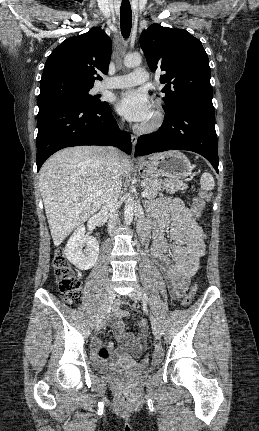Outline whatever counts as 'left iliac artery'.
Listing matches in <instances>:
<instances>
[{
    "label": "left iliac artery",
    "instance_id": "44dca946",
    "mask_svg": "<svg viewBox=\"0 0 259 431\" xmlns=\"http://www.w3.org/2000/svg\"><path fill=\"white\" fill-rule=\"evenodd\" d=\"M143 297H144V300L148 302V297L145 292H143Z\"/></svg>",
    "mask_w": 259,
    "mask_h": 431
}]
</instances>
